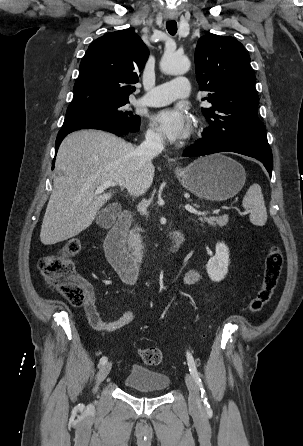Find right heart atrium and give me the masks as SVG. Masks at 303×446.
<instances>
[{
  "label": "right heart atrium",
  "mask_w": 303,
  "mask_h": 446,
  "mask_svg": "<svg viewBox=\"0 0 303 446\" xmlns=\"http://www.w3.org/2000/svg\"><path fill=\"white\" fill-rule=\"evenodd\" d=\"M146 139L148 142L158 144L162 141L161 135L153 128H149L146 132Z\"/></svg>",
  "instance_id": "obj_1"
}]
</instances>
